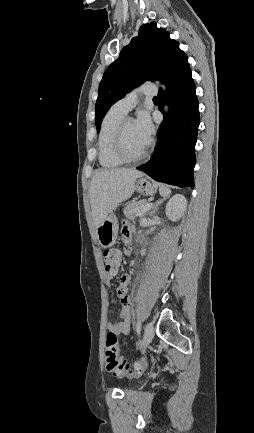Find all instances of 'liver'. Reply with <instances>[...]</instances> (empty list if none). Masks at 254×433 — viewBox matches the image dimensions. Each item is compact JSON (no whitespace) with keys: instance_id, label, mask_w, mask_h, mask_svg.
<instances>
[{"instance_id":"1","label":"liver","mask_w":254,"mask_h":433,"mask_svg":"<svg viewBox=\"0 0 254 433\" xmlns=\"http://www.w3.org/2000/svg\"><path fill=\"white\" fill-rule=\"evenodd\" d=\"M143 173L135 169L97 170L89 189L90 204L95 228L116 208L130 198L136 179Z\"/></svg>"}]
</instances>
